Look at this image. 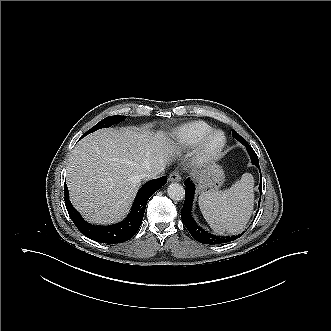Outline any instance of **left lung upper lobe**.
Listing matches in <instances>:
<instances>
[{"instance_id": "5c2ea615", "label": "left lung upper lobe", "mask_w": 331, "mask_h": 331, "mask_svg": "<svg viewBox=\"0 0 331 331\" xmlns=\"http://www.w3.org/2000/svg\"><path fill=\"white\" fill-rule=\"evenodd\" d=\"M232 134H233V136H240V135H239L236 131H234V130H233ZM248 152H249V154H250V157H251L252 162H253V163H258V157H257L256 153L254 152V150L252 149V147H251L250 151H248Z\"/></svg>"}]
</instances>
